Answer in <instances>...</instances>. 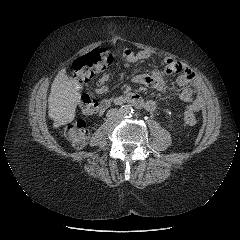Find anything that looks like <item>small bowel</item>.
Here are the masks:
<instances>
[{
  "instance_id": "1",
  "label": "small bowel",
  "mask_w": 240,
  "mask_h": 240,
  "mask_svg": "<svg viewBox=\"0 0 240 240\" xmlns=\"http://www.w3.org/2000/svg\"><path fill=\"white\" fill-rule=\"evenodd\" d=\"M151 56L148 50L132 51L125 49L121 52L123 58V66L131 67L136 65L142 60H145ZM164 74H179L177 78V85L182 88L181 93L178 96V100L185 103V110L197 112L202 107V100L199 95L198 82L195 74L183 63L167 57L164 60ZM111 78L110 73H105L96 83L95 92L99 95L105 94L109 90V80ZM133 82L145 84L154 87L160 92L166 91V85L163 79V74L156 70L152 73L139 74L133 77ZM112 98L103 99L100 102V111L103 113L111 104ZM145 108L147 110H154L156 108V101L151 99L145 102Z\"/></svg>"
}]
</instances>
